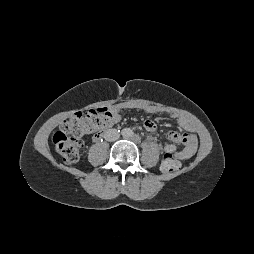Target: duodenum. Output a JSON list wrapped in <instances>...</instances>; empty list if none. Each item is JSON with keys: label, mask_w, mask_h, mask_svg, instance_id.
<instances>
[{"label": "duodenum", "mask_w": 254, "mask_h": 254, "mask_svg": "<svg viewBox=\"0 0 254 254\" xmlns=\"http://www.w3.org/2000/svg\"><path fill=\"white\" fill-rule=\"evenodd\" d=\"M104 135H105V132H101V133H99L98 135H96L94 139H95L96 141H97V140H100Z\"/></svg>", "instance_id": "obj_1"}]
</instances>
